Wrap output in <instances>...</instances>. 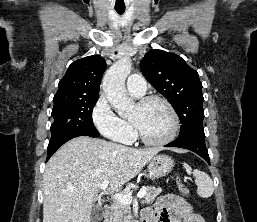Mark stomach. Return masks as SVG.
Returning <instances> with one entry per match:
<instances>
[{"label": "stomach", "instance_id": "1", "mask_svg": "<svg viewBox=\"0 0 257 222\" xmlns=\"http://www.w3.org/2000/svg\"><path fill=\"white\" fill-rule=\"evenodd\" d=\"M174 162L168 155H156L148 162V172L152 178L167 175L173 168Z\"/></svg>", "mask_w": 257, "mask_h": 222}]
</instances>
